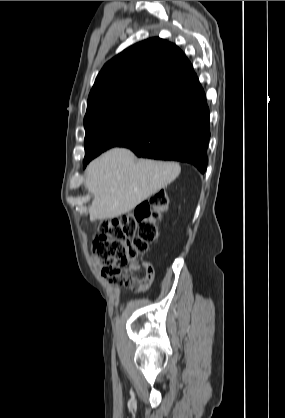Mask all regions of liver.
<instances>
[{"mask_svg":"<svg viewBox=\"0 0 285 418\" xmlns=\"http://www.w3.org/2000/svg\"><path fill=\"white\" fill-rule=\"evenodd\" d=\"M180 171L178 163L137 160L125 148L107 151L94 159L85 172V188L94 196L90 220L112 219L130 212L175 180Z\"/></svg>","mask_w":285,"mask_h":418,"instance_id":"1","label":"liver"}]
</instances>
